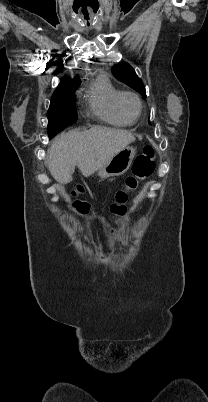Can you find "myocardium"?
I'll return each instance as SVG.
<instances>
[{
    "instance_id": "myocardium-1",
    "label": "myocardium",
    "mask_w": 208,
    "mask_h": 402,
    "mask_svg": "<svg viewBox=\"0 0 208 402\" xmlns=\"http://www.w3.org/2000/svg\"><path fill=\"white\" fill-rule=\"evenodd\" d=\"M125 96H130V97H132L133 99H135V101L137 102V104H138V112H137L136 115L133 116V115H131L130 113H128V112L124 109L123 104H122V100H123V98H124ZM116 108H117L118 112H119L124 118H126V119H128V120H130V121L136 122V121L141 117V115H142L143 103H142L140 97H139L136 93H134V92H132V91H121V92L118 94L117 99H116Z\"/></svg>"
}]
</instances>
